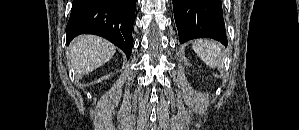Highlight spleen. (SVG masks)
Segmentation results:
<instances>
[{"label": "spleen", "mask_w": 299, "mask_h": 130, "mask_svg": "<svg viewBox=\"0 0 299 130\" xmlns=\"http://www.w3.org/2000/svg\"><path fill=\"white\" fill-rule=\"evenodd\" d=\"M192 48L199 58L211 68H219L223 62L221 45L215 41L198 39L192 43Z\"/></svg>", "instance_id": "obj_1"}]
</instances>
